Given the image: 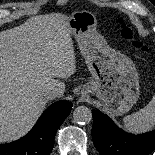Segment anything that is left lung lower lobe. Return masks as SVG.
I'll use <instances>...</instances> for the list:
<instances>
[{
	"label": "left lung lower lobe",
	"mask_w": 155,
	"mask_h": 155,
	"mask_svg": "<svg viewBox=\"0 0 155 155\" xmlns=\"http://www.w3.org/2000/svg\"><path fill=\"white\" fill-rule=\"evenodd\" d=\"M92 137L101 155H148L155 149V130L134 135L119 129L101 111H92Z\"/></svg>",
	"instance_id": "left-lung-lower-lobe-1"
}]
</instances>
